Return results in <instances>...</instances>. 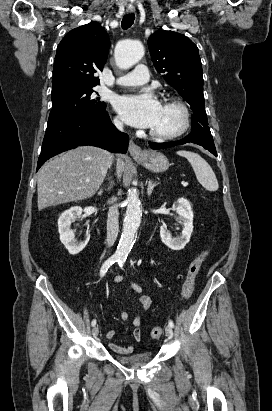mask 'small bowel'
Listing matches in <instances>:
<instances>
[{"label": "small bowel", "mask_w": 272, "mask_h": 411, "mask_svg": "<svg viewBox=\"0 0 272 411\" xmlns=\"http://www.w3.org/2000/svg\"><path fill=\"white\" fill-rule=\"evenodd\" d=\"M115 283H123L126 282V279L122 276H117L114 279ZM130 287L132 291L137 294V300L142 308V310L146 311L150 308L151 306V298L147 295L142 294L143 289L140 285L134 282H130ZM120 318L123 321H127L129 319V314L126 311H122L120 313ZM133 324V331H132V340L133 344L127 345V346H120L115 343H110L109 347L111 350H113L116 353L119 354H131L134 351L135 348V343L140 341L141 339V324H142V319L140 315H136L132 321ZM114 336V331L113 330H107L104 332V338L107 340L112 339Z\"/></svg>", "instance_id": "small-bowel-1"}]
</instances>
